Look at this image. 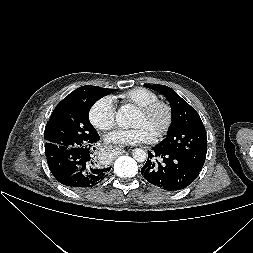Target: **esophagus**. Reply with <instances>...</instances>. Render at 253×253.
<instances>
[{
	"label": "esophagus",
	"instance_id": "esophagus-1",
	"mask_svg": "<svg viewBox=\"0 0 253 253\" xmlns=\"http://www.w3.org/2000/svg\"><path fill=\"white\" fill-rule=\"evenodd\" d=\"M106 148L113 153H121L122 149L117 145H107Z\"/></svg>",
	"mask_w": 253,
	"mask_h": 253
}]
</instances>
